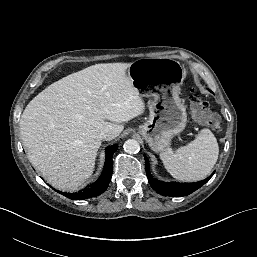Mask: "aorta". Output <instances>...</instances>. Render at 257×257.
I'll use <instances>...</instances> for the list:
<instances>
[{
    "mask_svg": "<svg viewBox=\"0 0 257 257\" xmlns=\"http://www.w3.org/2000/svg\"><path fill=\"white\" fill-rule=\"evenodd\" d=\"M123 147H124V151L128 154H135V153H138L140 150V145L138 141H136L135 139H129L125 141Z\"/></svg>",
    "mask_w": 257,
    "mask_h": 257,
    "instance_id": "obj_1",
    "label": "aorta"
}]
</instances>
